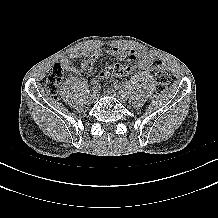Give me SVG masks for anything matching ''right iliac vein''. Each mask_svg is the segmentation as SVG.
<instances>
[{"instance_id":"obj_1","label":"right iliac vein","mask_w":218,"mask_h":218,"mask_svg":"<svg viewBox=\"0 0 218 218\" xmlns=\"http://www.w3.org/2000/svg\"><path fill=\"white\" fill-rule=\"evenodd\" d=\"M97 98H98V94L97 93H91L90 97H89V101L91 103H94L97 100Z\"/></svg>"}]
</instances>
